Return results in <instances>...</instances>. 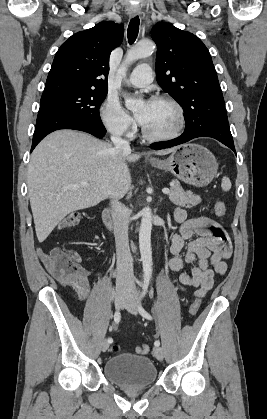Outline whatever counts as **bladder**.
<instances>
[{
  "instance_id": "bladder-1",
  "label": "bladder",
  "mask_w": 267,
  "mask_h": 419,
  "mask_svg": "<svg viewBox=\"0 0 267 419\" xmlns=\"http://www.w3.org/2000/svg\"><path fill=\"white\" fill-rule=\"evenodd\" d=\"M110 382L126 388L147 387L157 380L153 361L143 355L120 353L111 356L103 368Z\"/></svg>"
}]
</instances>
